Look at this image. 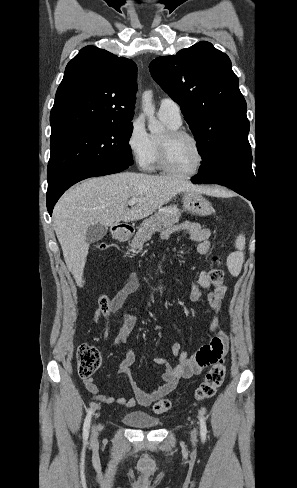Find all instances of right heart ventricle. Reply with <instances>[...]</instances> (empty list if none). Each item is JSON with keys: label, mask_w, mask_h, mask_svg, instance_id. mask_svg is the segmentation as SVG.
Wrapping results in <instances>:
<instances>
[{"label": "right heart ventricle", "mask_w": 297, "mask_h": 488, "mask_svg": "<svg viewBox=\"0 0 297 488\" xmlns=\"http://www.w3.org/2000/svg\"><path fill=\"white\" fill-rule=\"evenodd\" d=\"M167 126L172 129H178L179 126L173 125L172 123L164 120ZM152 139V152L147 166L151 169L159 168L158 154H159V140L157 138L151 137Z\"/></svg>", "instance_id": "right-heart-ventricle-1"}]
</instances>
